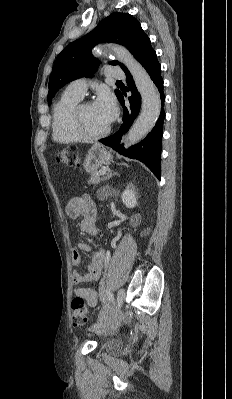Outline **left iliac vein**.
I'll return each instance as SVG.
<instances>
[{
	"label": "left iliac vein",
	"instance_id": "obj_1",
	"mask_svg": "<svg viewBox=\"0 0 232 399\" xmlns=\"http://www.w3.org/2000/svg\"><path fill=\"white\" fill-rule=\"evenodd\" d=\"M124 299H125V289H124V288H121L120 291H118L117 303H118L119 305L115 308V311H114V314H115V315H118V314H119V311L122 309V306H121V305L124 303ZM114 322H115V319H114V318H111L110 320H107L106 323H102L101 325H100V324H99V325H96V328H97V329H100L101 327H102V328H106V327H109L110 324H111V323H114Z\"/></svg>",
	"mask_w": 232,
	"mask_h": 399
}]
</instances>
